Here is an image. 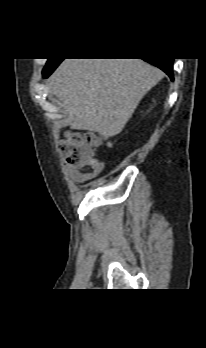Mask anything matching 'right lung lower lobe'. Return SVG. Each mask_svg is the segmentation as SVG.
<instances>
[{
  "instance_id": "1",
  "label": "right lung lower lobe",
  "mask_w": 206,
  "mask_h": 348,
  "mask_svg": "<svg viewBox=\"0 0 206 348\" xmlns=\"http://www.w3.org/2000/svg\"><path fill=\"white\" fill-rule=\"evenodd\" d=\"M145 61L153 64L154 66L160 68L161 70H163L169 77L171 80H173V59H169V58H162V59H156V58H150V59H144ZM62 61V60H61ZM60 60H58L57 64L46 68L43 70V76L44 77H48L55 69L56 67L59 65V63L61 62Z\"/></svg>"
}]
</instances>
